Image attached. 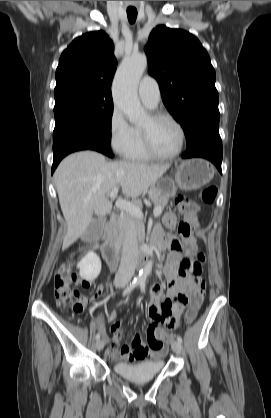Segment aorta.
Instances as JSON below:
<instances>
[{"label":"aorta","mask_w":271,"mask_h":418,"mask_svg":"<svg viewBox=\"0 0 271 418\" xmlns=\"http://www.w3.org/2000/svg\"><path fill=\"white\" fill-rule=\"evenodd\" d=\"M146 66V55L134 54L122 61L114 78V104L133 124H139L148 119V114L137 95V87ZM152 266V261H148L140 271L138 278L144 280L152 271Z\"/></svg>","instance_id":"obj_1"}]
</instances>
